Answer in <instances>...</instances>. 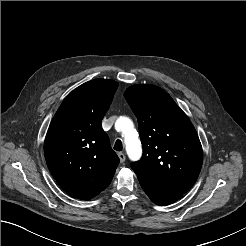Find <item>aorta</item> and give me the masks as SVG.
<instances>
[{"instance_id": "1", "label": "aorta", "mask_w": 246, "mask_h": 246, "mask_svg": "<svg viewBox=\"0 0 246 246\" xmlns=\"http://www.w3.org/2000/svg\"><path fill=\"white\" fill-rule=\"evenodd\" d=\"M115 125L123 133L126 152L130 160H139L142 155V147L133 122L127 117H120Z\"/></svg>"}]
</instances>
